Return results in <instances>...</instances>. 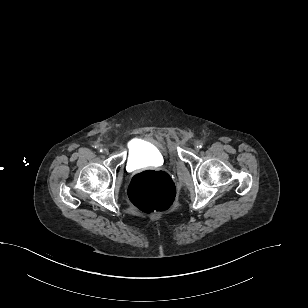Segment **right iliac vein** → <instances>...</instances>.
Returning <instances> with one entry per match:
<instances>
[{"label": "right iliac vein", "instance_id": "1", "mask_svg": "<svg viewBox=\"0 0 308 308\" xmlns=\"http://www.w3.org/2000/svg\"><path fill=\"white\" fill-rule=\"evenodd\" d=\"M103 152H104L105 154H107V153H108V149L104 148V149H103Z\"/></svg>", "mask_w": 308, "mask_h": 308}]
</instances>
